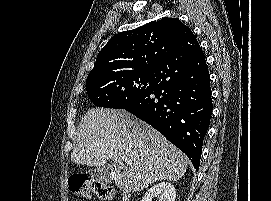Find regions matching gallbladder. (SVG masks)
I'll list each match as a JSON object with an SVG mask.
<instances>
[{
  "label": "gallbladder",
  "instance_id": "obj_1",
  "mask_svg": "<svg viewBox=\"0 0 271 201\" xmlns=\"http://www.w3.org/2000/svg\"><path fill=\"white\" fill-rule=\"evenodd\" d=\"M113 164L105 163L104 165L97 166L92 170L93 177L96 181L102 183H111L113 181Z\"/></svg>",
  "mask_w": 271,
  "mask_h": 201
}]
</instances>
